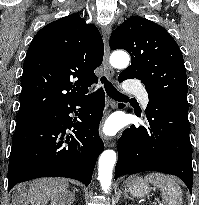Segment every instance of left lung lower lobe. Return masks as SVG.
Masks as SVG:
<instances>
[{"instance_id": "obj_1", "label": "left lung lower lobe", "mask_w": 199, "mask_h": 205, "mask_svg": "<svg viewBox=\"0 0 199 205\" xmlns=\"http://www.w3.org/2000/svg\"><path fill=\"white\" fill-rule=\"evenodd\" d=\"M125 79L130 78H118L120 82ZM145 113L149 127L132 125L118 141L115 180L125 174L158 171L181 178L192 193L188 109L161 99H149Z\"/></svg>"}]
</instances>
